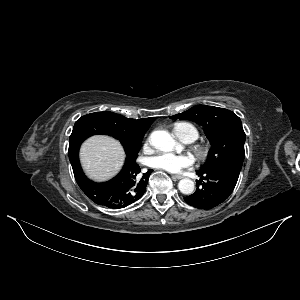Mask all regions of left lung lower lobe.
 <instances>
[{
	"label": "left lung lower lobe",
	"instance_id": "1",
	"mask_svg": "<svg viewBox=\"0 0 300 300\" xmlns=\"http://www.w3.org/2000/svg\"><path fill=\"white\" fill-rule=\"evenodd\" d=\"M240 170L231 166H222L207 172L197 171L201 177L195 193L184 197L191 206L199 209H212L224 202L235 188ZM203 179L206 182H203ZM203 182V183H202ZM202 187H199V185Z\"/></svg>",
	"mask_w": 300,
	"mask_h": 300
}]
</instances>
